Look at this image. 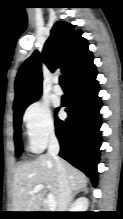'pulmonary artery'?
I'll list each match as a JSON object with an SVG mask.
<instances>
[{
    "label": "pulmonary artery",
    "mask_w": 123,
    "mask_h": 219,
    "mask_svg": "<svg viewBox=\"0 0 123 219\" xmlns=\"http://www.w3.org/2000/svg\"><path fill=\"white\" fill-rule=\"evenodd\" d=\"M53 91L56 95H61L63 93V90L61 86L58 84V82H56V84L54 85Z\"/></svg>",
    "instance_id": "pulmonary-artery-1"
}]
</instances>
